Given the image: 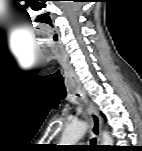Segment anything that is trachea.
<instances>
[{"label":"trachea","mask_w":142,"mask_h":151,"mask_svg":"<svg viewBox=\"0 0 142 151\" xmlns=\"http://www.w3.org/2000/svg\"><path fill=\"white\" fill-rule=\"evenodd\" d=\"M64 96H66V95H64ZM91 144L96 145V138L91 139Z\"/></svg>","instance_id":"obj_1"}]
</instances>
